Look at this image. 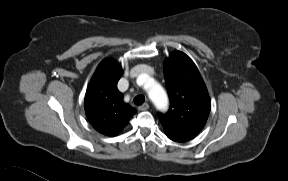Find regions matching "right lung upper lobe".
<instances>
[{
    "label": "right lung upper lobe",
    "instance_id": "cb5924a9",
    "mask_svg": "<svg viewBox=\"0 0 288 181\" xmlns=\"http://www.w3.org/2000/svg\"><path fill=\"white\" fill-rule=\"evenodd\" d=\"M122 73L117 61L104 59L98 65L85 95V111L90 123L98 132L108 136L117 135L137 112L123 102V95L117 89Z\"/></svg>",
    "mask_w": 288,
    "mask_h": 181
}]
</instances>
